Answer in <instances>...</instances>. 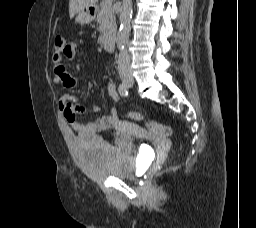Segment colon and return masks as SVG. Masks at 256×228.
I'll list each match as a JSON object with an SVG mask.
<instances>
[{"mask_svg":"<svg viewBox=\"0 0 256 228\" xmlns=\"http://www.w3.org/2000/svg\"><path fill=\"white\" fill-rule=\"evenodd\" d=\"M68 44L66 43L65 39L61 36H57L54 40V51L56 55H62L67 49ZM129 117L131 119L140 121L143 119V115L138 111H131L129 113ZM146 128L152 134L160 137H168L172 133V129L170 126L161 124L155 121H146Z\"/></svg>","mask_w":256,"mask_h":228,"instance_id":"1","label":"colon"}]
</instances>
